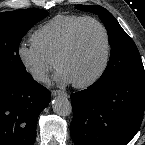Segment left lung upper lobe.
I'll return each mask as SVG.
<instances>
[{"label":"left lung upper lobe","mask_w":145,"mask_h":145,"mask_svg":"<svg viewBox=\"0 0 145 145\" xmlns=\"http://www.w3.org/2000/svg\"><path fill=\"white\" fill-rule=\"evenodd\" d=\"M76 8L97 14L108 32L111 45L110 60L102 76L94 83L95 85L104 86L119 79L145 75L135 43L109 11L95 5H76Z\"/></svg>","instance_id":"left-lung-upper-lobe-1"}]
</instances>
